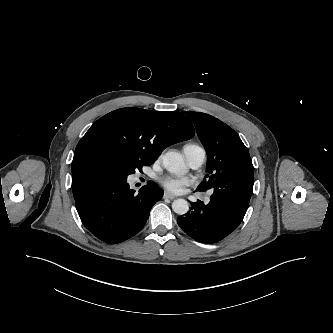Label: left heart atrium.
<instances>
[{
	"label": "left heart atrium",
	"mask_w": 333,
	"mask_h": 333,
	"mask_svg": "<svg viewBox=\"0 0 333 333\" xmlns=\"http://www.w3.org/2000/svg\"><path fill=\"white\" fill-rule=\"evenodd\" d=\"M162 186L169 192L179 194L189 184V180L185 177L167 175L160 180Z\"/></svg>",
	"instance_id": "39dd6f15"
}]
</instances>
